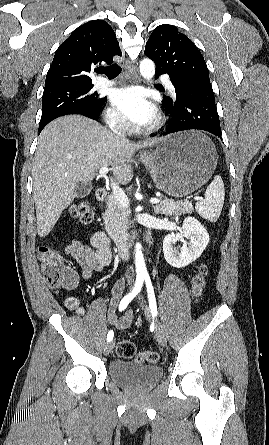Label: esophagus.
Wrapping results in <instances>:
<instances>
[{"mask_svg":"<svg viewBox=\"0 0 269 445\" xmlns=\"http://www.w3.org/2000/svg\"><path fill=\"white\" fill-rule=\"evenodd\" d=\"M126 74L132 80H139L138 68L130 61L125 63Z\"/></svg>","mask_w":269,"mask_h":445,"instance_id":"esophagus-1","label":"esophagus"}]
</instances>
